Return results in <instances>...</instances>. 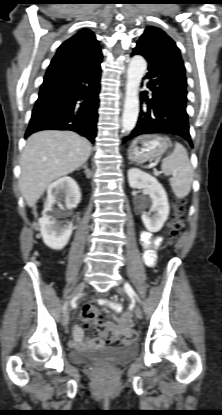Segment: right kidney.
Instances as JSON below:
<instances>
[{"label":"right kidney","instance_id":"obj_1","mask_svg":"<svg viewBox=\"0 0 222 415\" xmlns=\"http://www.w3.org/2000/svg\"><path fill=\"white\" fill-rule=\"evenodd\" d=\"M47 199L42 217L39 219L40 231L44 243L56 250H61L68 243L73 230L72 222L62 225L57 219L65 211L76 208L81 200L78 184L71 177H62L48 186ZM65 203V207L62 205ZM57 203L60 210L54 208Z\"/></svg>","mask_w":222,"mask_h":415}]
</instances>
